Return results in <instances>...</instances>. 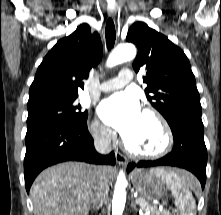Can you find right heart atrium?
Instances as JSON below:
<instances>
[{"label":"right heart atrium","instance_id":"1","mask_svg":"<svg viewBox=\"0 0 221 215\" xmlns=\"http://www.w3.org/2000/svg\"><path fill=\"white\" fill-rule=\"evenodd\" d=\"M89 130L93 138L100 143L106 144L112 139L111 130L96 118L91 121Z\"/></svg>","mask_w":221,"mask_h":215}]
</instances>
